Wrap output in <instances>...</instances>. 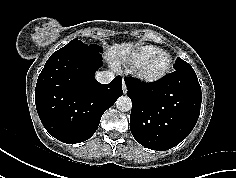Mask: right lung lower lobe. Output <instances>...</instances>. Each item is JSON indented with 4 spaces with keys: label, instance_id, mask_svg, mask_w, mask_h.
<instances>
[{
    "label": "right lung lower lobe",
    "instance_id": "98d812e1",
    "mask_svg": "<svg viewBox=\"0 0 236 178\" xmlns=\"http://www.w3.org/2000/svg\"><path fill=\"white\" fill-rule=\"evenodd\" d=\"M102 56L87 48L53 53L41 71L35 89L39 118L56 139L68 144L88 140L103 113L123 95L122 78L96 81Z\"/></svg>",
    "mask_w": 236,
    "mask_h": 178
}]
</instances>
